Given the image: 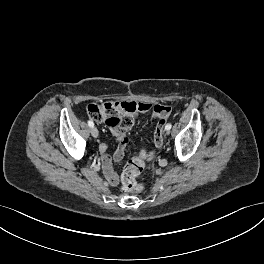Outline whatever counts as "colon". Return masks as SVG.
<instances>
[{
    "instance_id": "colon-1",
    "label": "colon",
    "mask_w": 264,
    "mask_h": 264,
    "mask_svg": "<svg viewBox=\"0 0 264 264\" xmlns=\"http://www.w3.org/2000/svg\"><path fill=\"white\" fill-rule=\"evenodd\" d=\"M135 111L136 106L134 104L124 102L92 103L87 107L90 118L97 122H104L111 129L119 131H127L132 128ZM165 123V120H159L156 125L154 142L157 145L163 143ZM149 156L145 149H141L127 162L121 175L123 191H140L142 189V186L137 182V178L142 173Z\"/></svg>"
}]
</instances>
